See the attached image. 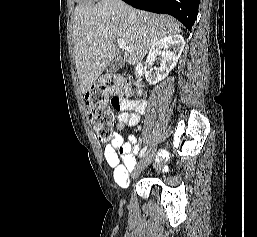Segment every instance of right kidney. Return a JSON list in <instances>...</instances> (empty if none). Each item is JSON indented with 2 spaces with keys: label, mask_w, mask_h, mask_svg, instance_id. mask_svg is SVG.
Returning <instances> with one entry per match:
<instances>
[{
  "label": "right kidney",
  "mask_w": 257,
  "mask_h": 237,
  "mask_svg": "<svg viewBox=\"0 0 257 237\" xmlns=\"http://www.w3.org/2000/svg\"><path fill=\"white\" fill-rule=\"evenodd\" d=\"M184 46V38L179 34L165 36L154 43L150 49L144 67V74L147 82L156 84L159 81L164 80L169 72L176 66ZM168 47H171L173 50H168ZM157 55L162 58V64L159 68L153 67Z\"/></svg>",
  "instance_id": "ca27d5eb"
}]
</instances>
